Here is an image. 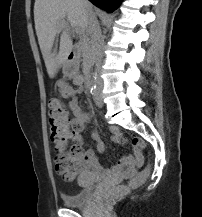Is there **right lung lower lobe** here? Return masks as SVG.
Here are the masks:
<instances>
[{
  "mask_svg": "<svg viewBox=\"0 0 202 217\" xmlns=\"http://www.w3.org/2000/svg\"><path fill=\"white\" fill-rule=\"evenodd\" d=\"M89 1H91L95 6L111 13L118 7L121 0H89Z\"/></svg>",
  "mask_w": 202,
  "mask_h": 217,
  "instance_id": "right-lung-lower-lobe-1",
  "label": "right lung lower lobe"
}]
</instances>
